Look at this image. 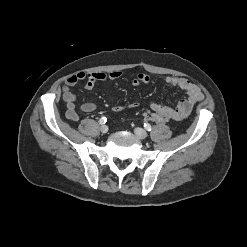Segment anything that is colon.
<instances>
[{
    "label": "colon",
    "mask_w": 247,
    "mask_h": 247,
    "mask_svg": "<svg viewBox=\"0 0 247 247\" xmlns=\"http://www.w3.org/2000/svg\"><path fill=\"white\" fill-rule=\"evenodd\" d=\"M146 118L158 124H164L167 122V118L157 112H150L146 115Z\"/></svg>",
    "instance_id": "obj_1"
}]
</instances>
